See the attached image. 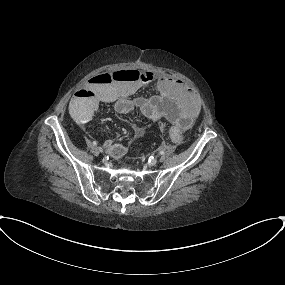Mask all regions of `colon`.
<instances>
[{"mask_svg":"<svg viewBox=\"0 0 285 285\" xmlns=\"http://www.w3.org/2000/svg\"><path fill=\"white\" fill-rule=\"evenodd\" d=\"M141 73L138 72V71H131V70H127V71H124V72H118L115 74V77L118 78V79H124V80H127L129 82H136L138 81L140 78L141 79H149L151 76L148 75V78L146 77H143L141 76ZM105 78V82L106 83H110L111 80L106 78V76H103Z\"/></svg>","mask_w":285,"mask_h":285,"instance_id":"5ec220e1","label":"colon"}]
</instances>
